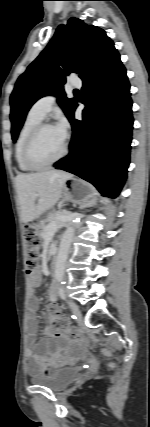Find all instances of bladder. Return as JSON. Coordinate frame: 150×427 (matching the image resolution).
Instances as JSON below:
<instances>
[{"label": "bladder", "instance_id": "31cf9c89", "mask_svg": "<svg viewBox=\"0 0 150 427\" xmlns=\"http://www.w3.org/2000/svg\"><path fill=\"white\" fill-rule=\"evenodd\" d=\"M79 374V369L67 366L54 369L47 374L33 376L30 381L34 385L46 387L52 391H61L71 384Z\"/></svg>", "mask_w": 150, "mask_h": 427}]
</instances>
